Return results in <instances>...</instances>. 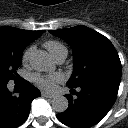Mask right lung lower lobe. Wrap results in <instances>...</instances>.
Segmentation results:
<instances>
[{"instance_id":"obj_1","label":"right lung lower lobe","mask_w":128,"mask_h":128,"mask_svg":"<svg viewBox=\"0 0 128 128\" xmlns=\"http://www.w3.org/2000/svg\"><path fill=\"white\" fill-rule=\"evenodd\" d=\"M22 84L18 96H13L7 83H0V128H16L28 117L31 102L41 95L40 91L28 81H16Z\"/></svg>"}]
</instances>
